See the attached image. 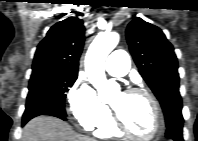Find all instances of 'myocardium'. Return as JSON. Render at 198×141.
I'll return each instance as SVG.
<instances>
[{
	"instance_id": "1",
	"label": "myocardium",
	"mask_w": 198,
	"mask_h": 141,
	"mask_svg": "<svg viewBox=\"0 0 198 141\" xmlns=\"http://www.w3.org/2000/svg\"><path fill=\"white\" fill-rule=\"evenodd\" d=\"M126 93L143 95L149 99V101L153 107V112H154L155 130L151 135H149L147 137H143V136H140V135L132 132L129 128H127L124 125V123L122 122V120H121L119 114L116 112V110L114 108H112L113 123H114L116 129L119 132H121L131 138L141 140V141H153V140L157 139L161 135V132L163 130L164 121H163V115H162L160 105H159L157 99L155 98V96L148 90H146L144 88H140V87L130 88L126 91Z\"/></svg>"
}]
</instances>
